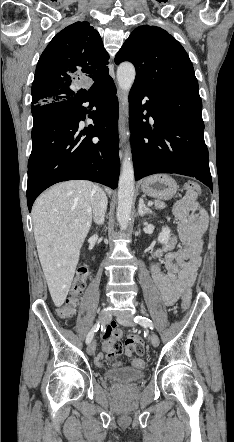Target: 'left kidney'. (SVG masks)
I'll return each mask as SVG.
<instances>
[{
	"instance_id": "obj_1",
	"label": "left kidney",
	"mask_w": 234,
	"mask_h": 442,
	"mask_svg": "<svg viewBox=\"0 0 234 442\" xmlns=\"http://www.w3.org/2000/svg\"><path fill=\"white\" fill-rule=\"evenodd\" d=\"M170 229L168 227H163L161 233L158 236V242L165 244L170 237Z\"/></svg>"
}]
</instances>
